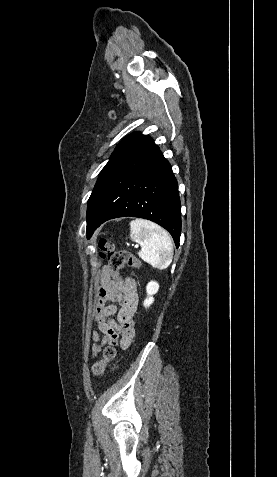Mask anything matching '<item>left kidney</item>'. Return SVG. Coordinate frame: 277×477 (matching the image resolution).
Wrapping results in <instances>:
<instances>
[{"label": "left kidney", "mask_w": 277, "mask_h": 477, "mask_svg": "<svg viewBox=\"0 0 277 477\" xmlns=\"http://www.w3.org/2000/svg\"><path fill=\"white\" fill-rule=\"evenodd\" d=\"M159 284L155 281H151L146 286L147 298L144 300L145 308L149 307L153 302V295L158 292Z\"/></svg>", "instance_id": "5707ae66"}]
</instances>
